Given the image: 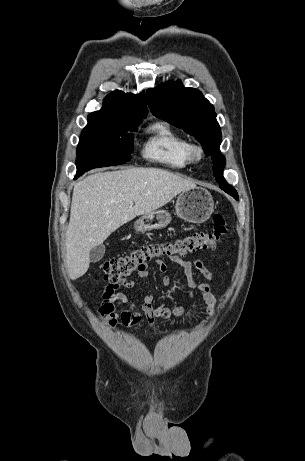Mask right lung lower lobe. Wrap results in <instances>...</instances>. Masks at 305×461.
<instances>
[{
    "label": "right lung lower lobe",
    "mask_w": 305,
    "mask_h": 461,
    "mask_svg": "<svg viewBox=\"0 0 305 461\" xmlns=\"http://www.w3.org/2000/svg\"><path fill=\"white\" fill-rule=\"evenodd\" d=\"M80 175H82V173L80 171H77V174H76L75 178L79 177Z\"/></svg>",
    "instance_id": "1"
}]
</instances>
